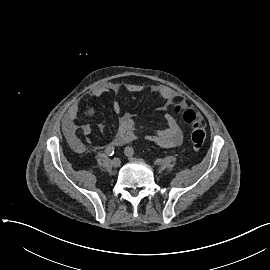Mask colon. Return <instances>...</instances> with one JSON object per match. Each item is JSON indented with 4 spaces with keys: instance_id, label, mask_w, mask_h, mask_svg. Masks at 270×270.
<instances>
[{
    "instance_id": "1",
    "label": "colon",
    "mask_w": 270,
    "mask_h": 270,
    "mask_svg": "<svg viewBox=\"0 0 270 270\" xmlns=\"http://www.w3.org/2000/svg\"><path fill=\"white\" fill-rule=\"evenodd\" d=\"M174 112L190 126L192 148L194 150H200L204 145L206 137L201 118L192 108L181 103L174 106Z\"/></svg>"
}]
</instances>
